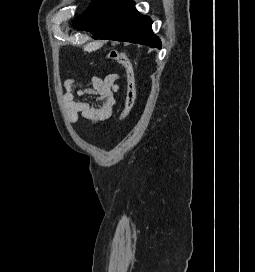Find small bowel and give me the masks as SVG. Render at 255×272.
<instances>
[{"instance_id":"1","label":"small bowel","mask_w":255,"mask_h":272,"mask_svg":"<svg viewBox=\"0 0 255 272\" xmlns=\"http://www.w3.org/2000/svg\"><path fill=\"white\" fill-rule=\"evenodd\" d=\"M118 80L119 75L116 73H111L103 79L92 76L88 88L76 90H74V80H67L64 84L63 105L69 121L76 123L79 116L93 124L108 119L116 105ZM84 95H93L96 99L94 102L78 99Z\"/></svg>"}]
</instances>
